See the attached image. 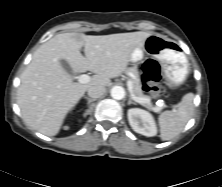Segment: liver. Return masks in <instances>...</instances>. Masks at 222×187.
<instances>
[{
    "mask_svg": "<svg viewBox=\"0 0 222 187\" xmlns=\"http://www.w3.org/2000/svg\"><path fill=\"white\" fill-rule=\"evenodd\" d=\"M150 34L63 33L42 44L23 71L17 90L24 122L44 135H57L66 115L84 93L91 86H108L111 78L126 71L132 51L142 46ZM82 47L85 56L80 52ZM60 60H66L75 73L91 71L95 75L86 84L74 83Z\"/></svg>",
    "mask_w": 222,
    "mask_h": 187,
    "instance_id": "1",
    "label": "liver"
}]
</instances>
